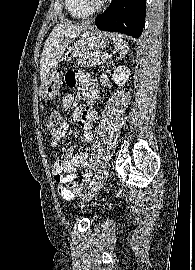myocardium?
<instances>
[{"mask_svg": "<svg viewBox=\"0 0 195 270\" xmlns=\"http://www.w3.org/2000/svg\"><path fill=\"white\" fill-rule=\"evenodd\" d=\"M83 3L89 7L93 12L99 10L106 0H82Z\"/></svg>", "mask_w": 195, "mask_h": 270, "instance_id": "obj_1", "label": "myocardium"}]
</instances>
